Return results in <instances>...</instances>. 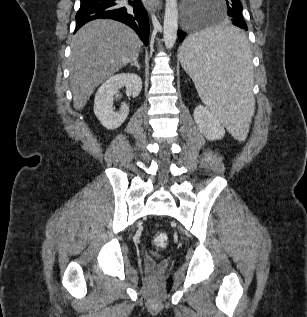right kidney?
I'll return each instance as SVG.
<instances>
[{
    "mask_svg": "<svg viewBox=\"0 0 307 317\" xmlns=\"http://www.w3.org/2000/svg\"><path fill=\"white\" fill-rule=\"evenodd\" d=\"M126 87L133 98L137 97L142 89L141 78L133 73H119L109 77L98 89L94 101V113L101 124L110 130L122 125L129 114L127 105L114 111L113 99L118 91Z\"/></svg>",
    "mask_w": 307,
    "mask_h": 317,
    "instance_id": "obj_1",
    "label": "right kidney"
}]
</instances>
